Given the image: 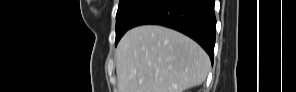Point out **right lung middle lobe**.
Instances as JSON below:
<instances>
[{
  "label": "right lung middle lobe",
  "mask_w": 296,
  "mask_h": 92,
  "mask_svg": "<svg viewBox=\"0 0 296 92\" xmlns=\"http://www.w3.org/2000/svg\"><path fill=\"white\" fill-rule=\"evenodd\" d=\"M154 0H120L116 15V40L117 45L123 34L132 27L134 20Z\"/></svg>",
  "instance_id": "obj_1"
}]
</instances>
